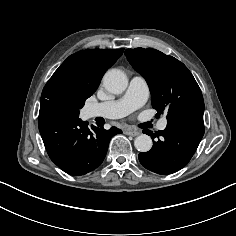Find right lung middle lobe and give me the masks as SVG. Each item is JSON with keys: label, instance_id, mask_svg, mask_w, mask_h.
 <instances>
[{"label": "right lung middle lobe", "instance_id": "dd1d6c3e", "mask_svg": "<svg viewBox=\"0 0 236 236\" xmlns=\"http://www.w3.org/2000/svg\"><path fill=\"white\" fill-rule=\"evenodd\" d=\"M92 94L89 89L67 78H59L44 87L41 104L56 103L79 115L85 100Z\"/></svg>", "mask_w": 236, "mask_h": 236}]
</instances>
